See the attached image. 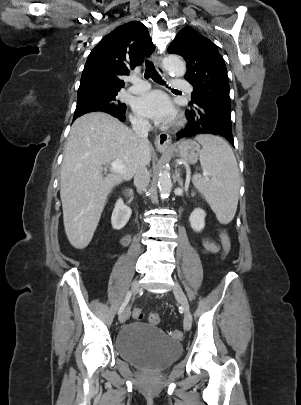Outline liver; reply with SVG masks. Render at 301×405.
<instances>
[{
  "label": "liver",
  "instance_id": "liver-1",
  "mask_svg": "<svg viewBox=\"0 0 301 405\" xmlns=\"http://www.w3.org/2000/svg\"><path fill=\"white\" fill-rule=\"evenodd\" d=\"M153 148L118 119L102 112L77 118L67 139L60 176L64 228L75 248H85L94 235L112 189L130 180L138 166L151 161ZM121 160L124 174L103 165Z\"/></svg>",
  "mask_w": 301,
  "mask_h": 405
}]
</instances>
